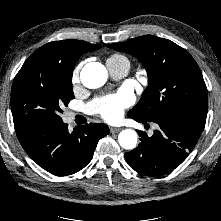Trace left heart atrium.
I'll return each instance as SVG.
<instances>
[{
    "label": "left heart atrium",
    "mask_w": 221,
    "mask_h": 221,
    "mask_svg": "<svg viewBox=\"0 0 221 221\" xmlns=\"http://www.w3.org/2000/svg\"><path fill=\"white\" fill-rule=\"evenodd\" d=\"M132 102L131 94L121 91L94 99L90 104V109L107 121H116Z\"/></svg>",
    "instance_id": "left-heart-atrium-1"
}]
</instances>
